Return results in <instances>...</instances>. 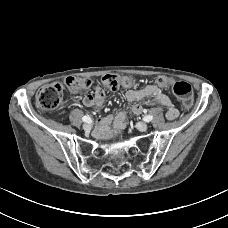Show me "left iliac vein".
Listing matches in <instances>:
<instances>
[{
	"mask_svg": "<svg viewBox=\"0 0 228 228\" xmlns=\"http://www.w3.org/2000/svg\"><path fill=\"white\" fill-rule=\"evenodd\" d=\"M136 128L139 130V131H146L148 129V125L145 123V122H138L136 124Z\"/></svg>",
	"mask_w": 228,
	"mask_h": 228,
	"instance_id": "1",
	"label": "left iliac vein"
}]
</instances>
